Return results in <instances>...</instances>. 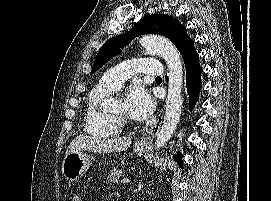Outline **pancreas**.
<instances>
[{
    "label": "pancreas",
    "mask_w": 271,
    "mask_h": 201,
    "mask_svg": "<svg viewBox=\"0 0 271 201\" xmlns=\"http://www.w3.org/2000/svg\"><path fill=\"white\" fill-rule=\"evenodd\" d=\"M121 172H119L118 170L116 169H113L110 173L109 176H107L106 178V181L107 182H110V183H116L118 184L119 183V180H120V177H121Z\"/></svg>",
    "instance_id": "pancreas-1"
}]
</instances>
